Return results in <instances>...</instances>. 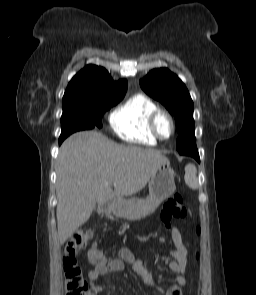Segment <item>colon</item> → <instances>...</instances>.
Returning <instances> with one entry per match:
<instances>
[{
	"label": "colon",
	"mask_w": 256,
	"mask_h": 295,
	"mask_svg": "<svg viewBox=\"0 0 256 295\" xmlns=\"http://www.w3.org/2000/svg\"><path fill=\"white\" fill-rule=\"evenodd\" d=\"M186 215L187 209L183 205L182 196L175 193L164 203L160 213V220L166 228H169L174 220L185 218ZM196 233L200 234L199 226L196 227ZM90 237V231H77L64 247L62 263L66 295H89L88 285L83 278L77 255L86 248ZM88 259L92 265H99L105 261L102 252L98 249L90 250Z\"/></svg>",
	"instance_id": "1"
}]
</instances>
